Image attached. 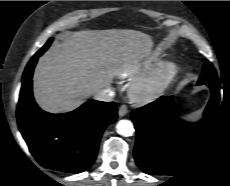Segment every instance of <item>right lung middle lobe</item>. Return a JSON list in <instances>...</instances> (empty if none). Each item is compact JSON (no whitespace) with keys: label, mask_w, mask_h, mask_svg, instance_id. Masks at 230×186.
<instances>
[{"label":"right lung middle lobe","mask_w":230,"mask_h":186,"mask_svg":"<svg viewBox=\"0 0 230 186\" xmlns=\"http://www.w3.org/2000/svg\"><path fill=\"white\" fill-rule=\"evenodd\" d=\"M53 38H50L47 43L36 53L38 56H41L50 46Z\"/></svg>","instance_id":"obj_1"}]
</instances>
